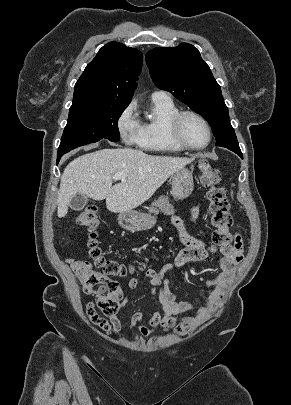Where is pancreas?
I'll use <instances>...</instances> for the list:
<instances>
[{"label": "pancreas", "instance_id": "obj_1", "mask_svg": "<svg viewBox=\"0 0 291 405\" xmlns=\"http://www.w3.org/2000/svg\"><path fill=\"white\" fill-rule=\"evenodd\" d=\"M173 206L170 204L167 196H160L158 200H155L150 209V213L158 214L161 211L164 214H172L173 213Z\"/></svg>", "mask_w": 291, "mask_h": 405}]
</instances>
